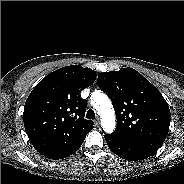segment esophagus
I'll return each mask as SVG.
<instances>
[{"mask_svg":"<svg viewBox=\"0 0 184 184\" xmlns=\"http://www.w3.org/2000/svg\"><path fill=\"white\" fill-rule=\"evenodd\" d=\"M95 124H96V125H99V124H100V118H99V117H97V118L95 119Z\"/></svg>","mask_w":184,"mask_h":184,"instance_id":"34e87169","label":"esophagus"}]
</instances>
